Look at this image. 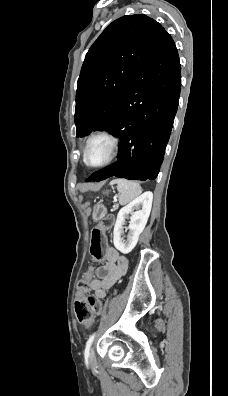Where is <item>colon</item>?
Wrapping results in <instances>:
<instances>
[{"label":"colon","mask_w":228,"mask_h":396,"mask_svg":"<svg viewBox=\"0 0 228 396\" xmlns=\"http://www.w3.org/2000/svg\"><path fill=\"white\" fill-rule=\"evenodd\" d=\"M113 217H103L93 228L91 236L90 253L96 260H101L104 255L106 231L113 225ZM91 273H86L77 283V294L74 303V311L78 322L89 327L92 318L99 315L102 310L100 301L94 296H87L90 289Z\"/></svg>","instance_id":"obj_1"}]
</instances>
